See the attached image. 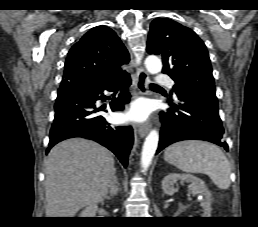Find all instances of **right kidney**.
<instances>
[{"label":"right kidney","mask_w":258,"mask_h":227,"mask_svg":"<svg viewBox=\"0 0 258 227\" xmlns=\"http://www.w3.org/2000/svg\"><path fill=\"white\" fill-rule=\"evenodd\" d=\"M97 205L90 204L82 212L80 217H96Z\"/></svg>","instance_id":"1"}]
</instances>
